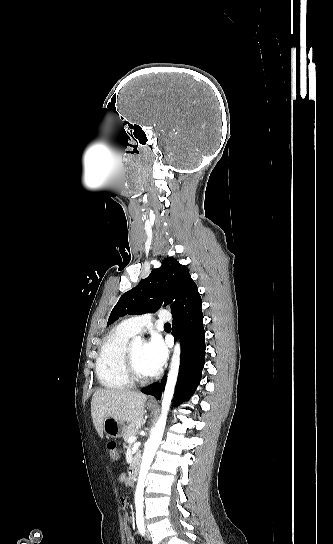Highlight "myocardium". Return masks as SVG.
I'll return each instance as SVG.
<instances>
[{
  "instance_id": "obj_1",
  "label": "myocardium",
  "mask_w": 333,
  "mask_h": 544,
  "mask_svg": "<svg viewBox=\"0 0 333 544\" xmlns=\"http://www.w3.org/2000/svg\"><path fill=\"white\" fill-rule=\"evenodd\" d=\"M125 371L132 383L144 384L154 379L155 374L149 376H142L135 366L133 354L131 351V346L126 347L125 357H124Z\"/></svg>"
}]
</instances>
